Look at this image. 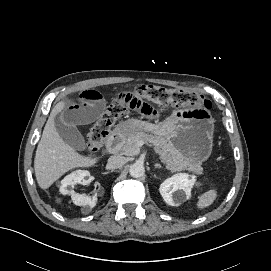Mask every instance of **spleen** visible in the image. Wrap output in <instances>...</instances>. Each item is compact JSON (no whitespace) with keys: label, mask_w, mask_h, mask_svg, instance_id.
I'll use <instances>...</instances> for the list:
<instances>
[{"label":"spleen","mask_w":271,"mask_h":271,"mask_svg":"<svg viewBox=\"0 0 271 271\" xmlns=\"http://www.w3.org/2000/svg\"><path fill=\"white\" fill-rule=\"evenodd\" d=\"M217 197V191L215 189H211L203 193L198 197L197 208L205 209L213 204Z\"/></svg>","instance_id":"spleen-1"}]
</instances>
